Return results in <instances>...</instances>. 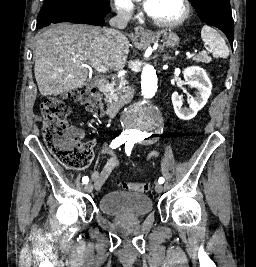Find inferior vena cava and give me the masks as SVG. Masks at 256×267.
<instances>
[{
    "mask_svg": "<svg viewBox=\"0 0 256 267\" xmlns=\"http://www.w3.org/2000/svg\"><path fill=\"white\" fill-rule=\"evenodd\" d=\"M116 12L117 16L109 20V26H111V28H108L106 32L108 36H116V38L126 40L125 36L121 34L120 30H124L129 20L132 18L131 6H125V4H123V6H118Z\"/></svg>",
    "mask_w": 256,
    "mask_h": 267,
    "instance_id": "602c4592",
    "label": "inferior vena cava"
}]
</instances>
